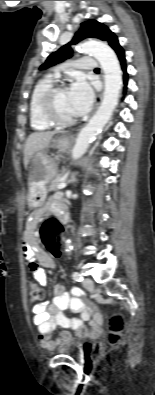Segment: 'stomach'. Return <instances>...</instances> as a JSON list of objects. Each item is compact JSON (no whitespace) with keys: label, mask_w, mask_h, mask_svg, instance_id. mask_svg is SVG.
Instances as JSON below:
<instances>
[{"label":"stomach","mask_w":155,"mask_h":395,"mask_svg":"<svg viewBox=\"0 0 155 395\" xmlns=\"http://www.w3.org/2000/svg\"><path fill=\"white\" fill-rule=\"evenodd\" d=\"M69 144L67 136H59L53 140V145L60 151H65ZM28 168V204L32 208L41 207L47 196V184L57 174V164L44 151H39L29 160Z\"/></svg>","instance_id":"0dacf381"}]
</instances>
